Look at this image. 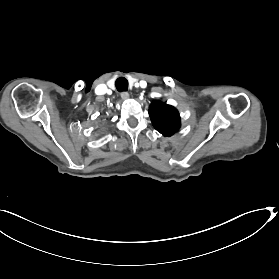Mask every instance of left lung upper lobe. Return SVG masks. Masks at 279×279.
I'll list each match as a JSON object with an SVG mask.
<instances>
[{
	"mask_svg": "<svg viewBox=\"0 0 279 279\" xmlns=\"http://www.w3.org/2000/svg\"><path fill=\"white\" fill-rule=\"evenodd\" d=\"M153 126L164 136L173 135L180 127L178 111L165 103L155 101L149 107Z\"/></svg>",
	"mask_w": 279,
	"mask_h": 279,
	"instance_id": "1",
	"label": "left lung upper lobe"
}]
</instances>
